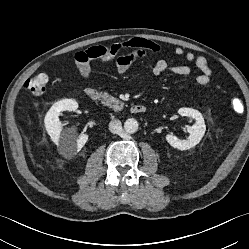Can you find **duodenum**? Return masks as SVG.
<instances>
[{
  "label": "duodenum",
  "mask_w": 249,
  "mask_h": 249,
  "mask_svg": "<svg viewBox=\"0 0 249 249\" xmlns=\"http://www.w3.org/2000/svg\"><path fill=\"white\" fill-rule=\"evenodd\" d=\"M85 95L92 101H98L101 99V92L93 87H88L84 91ZM147 107L143 103L133 104L131 107V112L134 114H142L146 111Z\"/></svg>",
  "instance_id": "duodenum-1"
}]
</instances>
